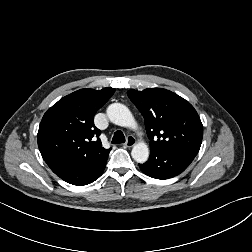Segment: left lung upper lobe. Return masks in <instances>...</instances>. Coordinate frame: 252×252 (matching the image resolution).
<instances>
[{
	"mask_svg": "<svg viewBox=\"0 0 252 252\" xmlns=\"http://www.w3.org/2000/svg\"><path fill=\"white\" fill-rule=\"evenodd\" d=\"M127 94L144 117L150 153L182 152L197 155L202 142L203 125L188 101L162 88L129 90Z\"/></svg>",
	"mask_w": 252,
	"mask_h": 252,
	"instance_id": "1",
	"label": "left lung upper lobe"
}]
</instances>
